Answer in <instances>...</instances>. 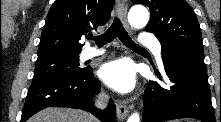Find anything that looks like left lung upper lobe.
Masks as SVG:
<instances>
[{
	"instance_id": "1",
	"label": "left lung upper lobe",
	"mask_w": 221,
	"mask_h": 122,
	"mask_svg": "<svg viewBox=\"0 0 221 122\" xmlns=\"http://www.w3.org/2000/svg\"><path fill=\"white\" fill-rule=\"evenodd\" d=\"M151 11L146 31L156 35L162 46V58L173 55L204 60L198 20L185 0H132Z\"/></svg>"
}]
</instances>
